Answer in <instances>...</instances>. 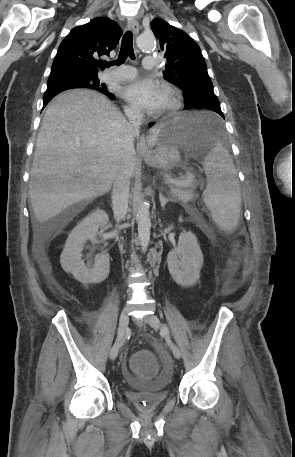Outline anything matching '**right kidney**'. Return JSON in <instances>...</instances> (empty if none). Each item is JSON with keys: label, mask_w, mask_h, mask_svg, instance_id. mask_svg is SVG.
<instances>
[{"label": "right kidney", "mask_w": 295, "mask_h": 457, "mask_svg": "<svg viewBox=\"0 0 295 457\" xmlns=\"http://www.w3.org/2000/svg\"><path fill=\"white\" fill-rule=\"evenodd\" d=\"M108 222L107 213L97 209L77 224L66 241L60 256L61 266L82 284L100 283L109 275L110 258L107 253L98 254L94 265L87 264L86 266L81 259V252L86 241L95 242L98 229L108 225Z\"/></svg>", "instance_id": "right-kidney-1"}]
</instances>
